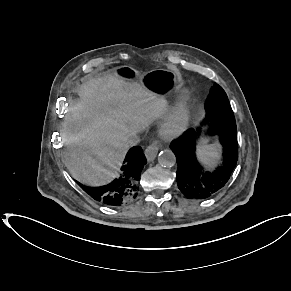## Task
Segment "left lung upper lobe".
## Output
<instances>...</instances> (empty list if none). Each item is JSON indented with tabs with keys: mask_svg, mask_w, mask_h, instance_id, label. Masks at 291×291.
Here are the masks:
<instances>
[{
	"mask_svg": "<svg viewBox=\"0 0 291 291\" xmlns=\"http://www.w3.org/2000/svg\"><path fill=\"white\" fill-rule=\"evenodd\" d=\"M205 108V120L236 125L235 117L228 97L223 88L218 84H215L211 89V93L206 101Z\"/></svg>",
	"mask_w": 291,
	"mask_h": 291,
	"instance_id": "obj_1",
	"label": "left lung upper lobe"
}]
</instances>
